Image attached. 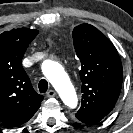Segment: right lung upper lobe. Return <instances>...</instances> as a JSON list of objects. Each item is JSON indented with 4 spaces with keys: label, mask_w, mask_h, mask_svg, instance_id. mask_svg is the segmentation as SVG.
Segmentation results:
<instances>
[{
    "label": "right lung upper lobe",
    "mask_w": 133,
    "mask_h": 133,
    "mask_svg": "<svg viewBox=\"0 0 133 133\" xmlns=\"http://www.w3.org/2000/svg\"><path fill=\"white\" fill-rule=\"evenodd\" d=\"M35 29L21 28L0 35V121L8 126L27 122L43 100L33 89L21 63Z\"/></svg>",
    "instance_id": "1"
}]
</instances>
